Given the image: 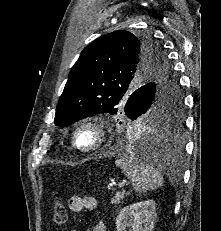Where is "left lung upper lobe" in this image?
I'll return each mask as SVG.
<instances>
[{
  "label": "left lung upper lobe",
  "instance_id": "5c2ea615",
  "mask_svg": "<svg viewBox=\"0 0 221 231\" xmlns=\"http://www.w3.org/2000/svg\"><path fill=\"white\" fill-rule=\"evenodd\" d=\"M135 93L140 98L132 107ZM123 108L128 117L146 114L160 126L182 121L180 88L164 48L150 35L117 30L84 48L54 122L65 126L96 113L117 115Z\"/></svg>",
  "mask_w": 221,
  "mask_h": 231
}]
</instances>
